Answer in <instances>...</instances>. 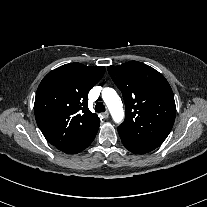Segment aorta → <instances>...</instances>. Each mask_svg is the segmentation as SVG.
Returning a JSON list of instances; mask_svg holds the SVG:
<instances>
[{
  "label": "aorta",
  "instance_id": "1",
  "mask_svg": "<svg viewBox=\"0 0 207 207\" xmlns=\"http://www.w3.org/2000/svg\"><path fill=\"white\" fill-rule=\"evenodd\" d=\"M102 98L106 103L113 120L120 123L124 118V111L122 102L118 94L113 88H104L102 91Z\"/></svg>",
  "mask_w": 207,
  "mask_h": 207
}]
</instances>
